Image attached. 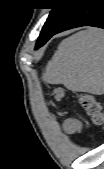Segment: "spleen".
Instances as JSON below:
<instances>
[{
	"mask_svg": "<svg viewBox=\"0 0 104 169\" xmlns=\"http://www.w3.org/2000/svg\"><path fill=\"white\" fill-rule=\"evenodd\" d=\"M43 80L72 91L104 93V33L90 28L63 40L48 62Z\"/></svg>",
	"mask_w": 104,
	"mask_h": 169,
	"instance_id": "1",
	"label": "spleen"
}]
</instances>
